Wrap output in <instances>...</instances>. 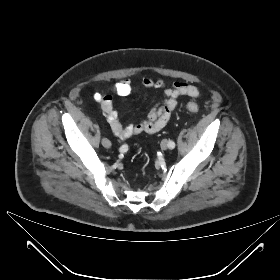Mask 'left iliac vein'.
I'll return each instance as SVG.
<instances>
[{
	"label": "left iliac vein",
	"instance_id": "1",
	"mask_svg": "<svg viewBox=\"0 0 280 280\" xmlns=\"http://www.w3.org/2000/svg\"><path fill=\"white\" fill-rule=\"evenodd\" d=\"M168 141L166 139L162 140L160 146H161V149L162 150H167L169 147H168Z\"/></svg>",
	"mask_w": 280,
	"mask_h": 280
}]
</instances>
